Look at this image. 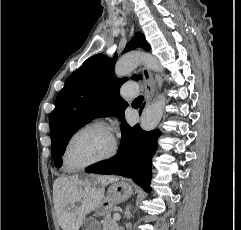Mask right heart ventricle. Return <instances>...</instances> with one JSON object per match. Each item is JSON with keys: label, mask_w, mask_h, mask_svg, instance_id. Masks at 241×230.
<instances>
[{"label": "right heart ventricle", "mask_w": 241, "mask_h": 230, "mask_svg": "<svg viewBox=\"0 0 241 230\" xmlns=\"http://www.w3.org/2000/svg\"><path fill=\"white\" fill-rule=\"evenodd\" d=\"M64 169L66 170V171H68V169H67V167L64 165Z\"/></svg>", "instance_id": "obj_1"}]
</instances>
